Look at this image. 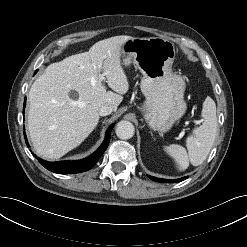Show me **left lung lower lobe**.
Returning <instances> with one entry per match:
<instances>
[{
	"label": "left lung lower lobe",
	"mask_w": 247,
	"mask_h": 247,
	"mask_svg": "<svg viewBox=\"0 0 247 247\" xmlns=\"http://www.w3.org/2000/svg\"><path fill=\"white\" fill-rule=\"evenodd\" d=\"M151 180L153 181H157V182H161V183H176V182H180V181H183L185 180L186 178L188 177H183V178H179V179H161V178H156V177H153V176H148Z\"/></svg>",
	"instance_id": "0a47b994"
}]
</instances>
